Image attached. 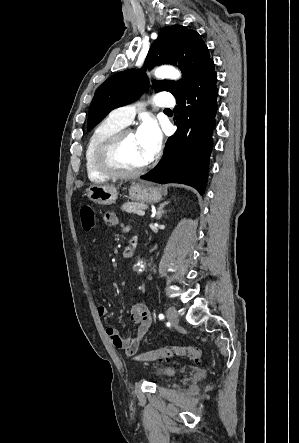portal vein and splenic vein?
<instances>
[{"mask_svg":"<svg viewBox=\"0 0 299 443\" xmlns=\"http://www.w3.org/2000/svg\"><path fill=\"white\" fill-rule=\"evenodd\" d=\"M136 214H137L138 216H144V215H145V211H143V210H138V211L136 212Z\"/></svg>","mask_w":299,"mask_h":443,"instance_id":"obj_1","label":"portal vein and splenic vein"}]
</instances>
